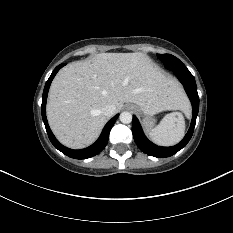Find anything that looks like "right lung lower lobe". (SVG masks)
<instances>
[{"mask_svg": "<svg viewBox=\"0 0 233 233\" xmlns=\"http://www.w3.org/2000/svg\"><path fill=\"white\" fill-rule=\"evenodd\" d=\"M66 63H62L60 65H58L54 71L52 72L51 76L49 77V79L47 80L45 87H44V91H43V96H42V106H41V111H42V119L43 122L45 124V128L48 134V137L51 141V143L59 150L61 151L63 154L74 158V159H87L90 157H93L95 155H97L98 153H100L106 146L108 139H109V133L111 128L113 127L115 121L117 120L119 114H117L116 116H114L104 127L100 137L98 138V140L92 144L91 146H89L88 148L82 149V150H72L69 149L65 146H63L62 144H60L58 142V140L55 138V136L53 135L52 131L49 128L48 122H47V118H46V99H47V95H48V91H49V87L50 84L54 78V76L57 74V72L63 67L65 66Z\"/></svg>", "mask_w": 233, "mask_h": 233, "instance_id": "obj_1", "label": "right lung lower lobe"}]
</instances>
